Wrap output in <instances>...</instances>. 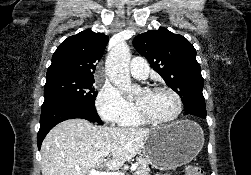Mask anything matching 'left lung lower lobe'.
I'll return each instance as SVG.
<instances>
[{
	"instance_id": "0a47b994",
	"label": "left lung lower lobe",
	"mask_w": 251,
	"mask_h": 175,
	"mask_svg": "<svg viewBox=\"0 0 251 175\" xmlns=\"http://www.w3.org/2000/svg\"><path fill=\"white\" fill-rule=\"evenodd\" d=\"M185 114L192 118H206L205 104H190L185 106Z\"/></svg>"
}]
</instances>
